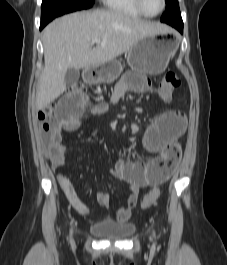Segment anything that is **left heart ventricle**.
Masks as SVG:
<instances>
[{
  "instance_id": "left-heart-ventricle-1",
  "label": "left heart ventricle",
  "mask_w": 227,
  "mask_h": 265,
  "mask_svg": "<svg viewBox=\"0 0 227 265\" xmlns=\"http://www.w3.org/2000/svg\"><path fill=\"white\" fill-rule=\"evenodd\" d=\"M144 10L149 14L157 13L162 6L161 0H142Z\"/></svg>"
}]
</instances>
